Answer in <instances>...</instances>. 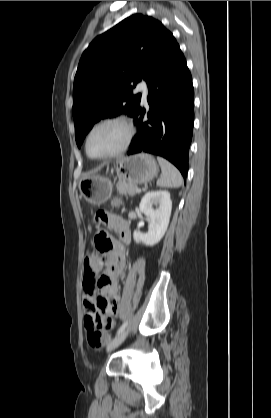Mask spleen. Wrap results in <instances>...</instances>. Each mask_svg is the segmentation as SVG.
<instances>
[{"label": "spleen", "instance_id": "obj_1", "mask_svg": "<svg viewBox=\"0 0 271 418\" xmlns=\"http://www.w3.org/2000/svg\"><path fill=\"white\" fill-rule=\"evenodd\" d=\"M162 174L157 180V186L164 188H178L183 183V178L179 170L169 161L162 157L157 158Z\"/></svg>", "mask_w": 271, "mask_h": 418}]
</instances>
